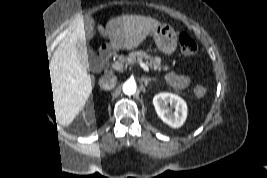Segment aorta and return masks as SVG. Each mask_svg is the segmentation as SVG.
I'll return each instance as SVG.
<instances>
[{
	"label": "aorta",
	"mask_w": 267,
	"mask_h": 178,
	"mask_svg": "<svg viewBox=\"0 0 267 178\" xmlns=\"http://www.w3.org/2000/svg\"><path fill=\"white\" fill-rule=\"evenodd\" d=\"M122 90H123V93L125 95H132L136 92V84L135 82L133 81H127L123 84V87H122Z\"/></svg>",
	"instance_id": "1"
}]
</instances>
